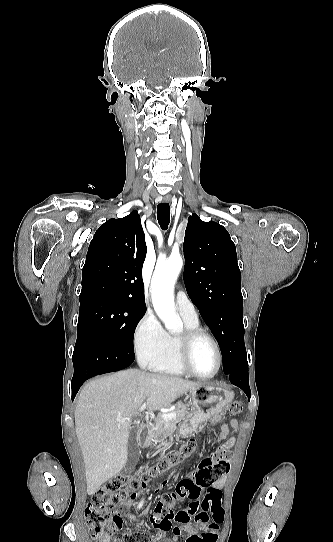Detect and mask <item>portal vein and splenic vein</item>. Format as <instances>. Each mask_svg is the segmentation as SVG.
I'll return each mask as SVG.
<instances>
[{
	"mask_svg": "<svg viewBox=\"0 0 333 542\" xmlns=\"http://www.w3.org/2000/svg\"><path fill=\"white\" fill-rule=\"evenodd\" d=\"M147 404H142L141 408H139V412H144ZM162 418L164 420H173V418H176L175 412H171V414H162ZM126 420H129V418H116V422H126Z\"/></svg>",
	"mask_w": 333,
	"mask_h": 542,
	"instance_id": "obj_1",
	"label": "portal vein and splenic vein"
}]
</instances>
